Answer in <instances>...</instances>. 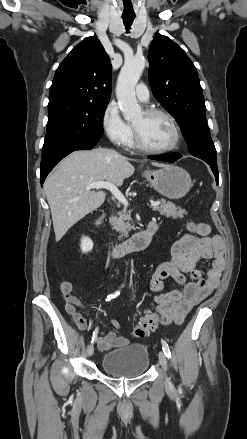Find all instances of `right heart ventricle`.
I'll return each mask as SVG.
<instances>
[{
  "instance_id": "obj_1",
  "label": "right heart ventricle",
  "mask_w": 247,
  "mask_h": 439,
  "mask_svg": "<svg viewBox=\"0 0 247 439\" xmlns=\"http://www.w3.org/2000/svg\"><path fill=\"white\" fill-rule=\"evenodd\" d=\"M126 145H128L129 147H134L135 146L133 135H131V137L128 140Z\"/></svg>"
}]
</instances>
